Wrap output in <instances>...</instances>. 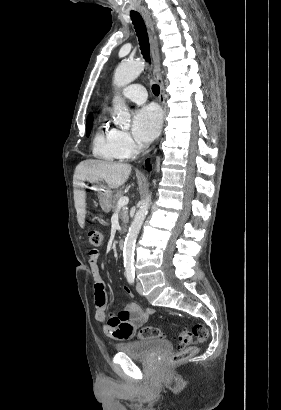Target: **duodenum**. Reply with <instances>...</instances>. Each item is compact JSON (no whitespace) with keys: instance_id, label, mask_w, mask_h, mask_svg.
Segmentation results:
<instances>
[{"instance_id":"1","label":"duodenum","mask_w":281,"mask_h":410,"mask_svg":"<svg viewBox=\"0 0 281 410\" xmlns=\"http://www.w3.org/2000/svg\"><path fill=\"white\" fill-rule=\"evenodd\" d=\"M125 247V241L124 240H119L118 241V248L123 249Z\"/></svg>"}]
</instances>
